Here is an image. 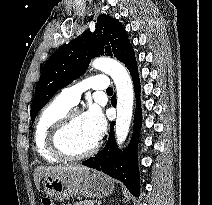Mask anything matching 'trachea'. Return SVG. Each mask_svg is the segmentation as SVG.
Returning a JSON list of instances; mask_svg holds the SVG:
<instances>
[{
	"label": "trachea",
	"instance_id": "3493384b",
	"mask_svg": "<svg viewBox=\"0 0 212 205\" xmlns=\"http://www.w3.org/2000/svg\"><path fill=\"white\" fill-rule=\"evenodd\" d=\"M107 93H113V89L111 87H109L107 90H106Z\"/></svg>",
	"mask_w": 212,
	"mask_h": 205
}]
</instances>
